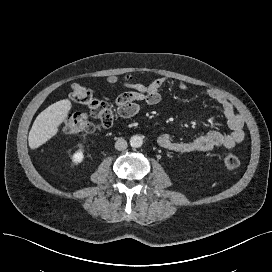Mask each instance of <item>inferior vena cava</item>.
Returning <instances> with one entry per match:
<instances>
[{"mask_svg": "<svg viewBox=\"0 0 272 272\" xmlns=\"http://www.w3.org/2000/svg\"><path fill=\"white\" fill-rule=\"evenodd\" d=\"M115 148L119 151L125 150L127 148V141L120 138L115 142Z\"/></svg>", "mask_w": 272, "mask_h": 272, "instance_id": "inferior-vena-cava-1", "label": "inferior vena cava"}]
</instances>
